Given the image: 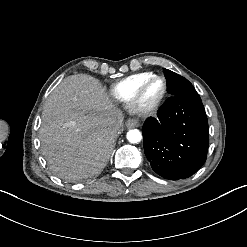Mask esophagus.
<instances>
[{
  "mask_svg": "<svg viewBox=\"0 0 247 247\" xmlns=\"http://www.w3.org/2000/svg\"><path fill=\"white\" fill-rule=\"evenodd\" d=\"M126 126L128 128H135L137 126H139V121L138 119L136 118H129L127 121H126Z\"/></svg>",
  "mask_w": 247,
  "mask_h": 247,
  "instance_id": "34e87169",
  "label": "esophagus"
}]
</instances>
